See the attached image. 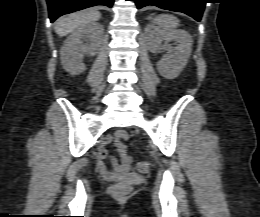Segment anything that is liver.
Masks as SVG:
<instances>
[{"instance_id":"6515ba94","label":"liver","mask_w":260,"mask_h":217,"mask_svg":"<svg viewBox=\"0 0 260 217\" xmlns=\"http://www.w3.org/2000/svg\"><path fill=\"white\" fill-rule=\"evenodd\" d=\"M101 14L96 9H89L71 13L59 18L55 22L54 30L60 36H66L77 28L99 20Z\"/></svg>"}]
</instances>
